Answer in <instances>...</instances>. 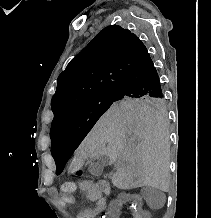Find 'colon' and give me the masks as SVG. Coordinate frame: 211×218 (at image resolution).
<instances>
[{"label":"colon","mask_w":211,"mask_h":218,"mask_svg":"<svg viewBox=\"0 0 211 218\" xmlns=\"http://www.w3.org/2000/svg\"><path fill=\"white\" fill-rule=\"evenodd\" d=\"M77 186L74 182H66L60 187V199L66 203L71 204L76 197Z\"/></svg>","instance_id":"colon-1"}]
</instances>
